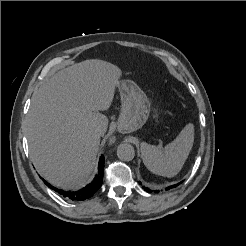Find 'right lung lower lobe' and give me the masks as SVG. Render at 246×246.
<instances>
[{
	"label": "right lung lower lobe",
	"mask_w": 246,
	"mask_h": 246,
	"mask_svg": "<svg viewBox=\"0 0 246 246\" xmlns=\"http://www.w3.org/2000/svg\"><path fill=\"white\" fill-rule=\"evenodd\" d=\"M104 161L105 158L103 155L100 157L99 160V166H98V174L95 176L94 181L90 184H88L86 187L78 190V191H65L58 188L53 187L51 184L47 183L45 184L51 188L52 190L56 191L58 194H60L62 197L66 198L67 200L72 201H83L91 196L101 187L102 181H103V172H104Z\"/></svg>",
	"instance_id": "right-lung-lower-lobe-1"
}]
</instances>
